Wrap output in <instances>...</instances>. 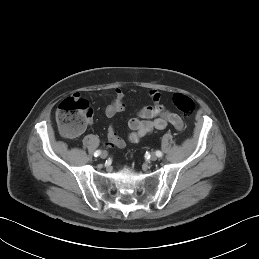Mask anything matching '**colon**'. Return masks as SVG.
Instances as JSON below:
<instances>
[{
    "label": "colon",
    "mask_w": 259,
    "mask_h": 259,
    "mask_svg": "<svg viewBox=\"0 0 259 259\" xmlns=\"http://www.w3.org/2000/svg\"><path fill=\"white\" fill-rule=\"evenodd\" d=\"M174 107L184 116H190L194 109V101L183 93L173 96ZM92 110L87 102L77 96L62 100L56 110V121L59 129L67 137L79 135L89 122Z\"/></svg>",
    "instance_id": "colon-1"
}]
</instances>
